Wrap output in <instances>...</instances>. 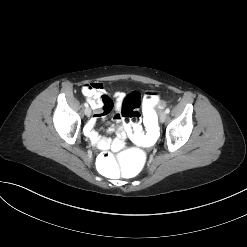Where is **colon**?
<instances>
[{
    "mask_svg": "<svg viewBox=\"0 0 247 247\" xmlns=\"http://www.w3.org/2000/svg\"><path fill=\"white\" fill-rule=\"evenodd\" d=\"M159 104L156 93H147L142 103V117L147 124L148 131H142L140 113L141 97L137 92L126 96L122 103L121 115L124 119V128L137 146L148 147L158 144L160 140V126L155 116V108ZM146 154L137 147L129 148L124 153L116 154L113 151H102L96 157V168L108 177H130L138 175L146 165Z\"/></svg>",
    "mask_w": 247,
    "mask_h": 247,
    "instance_id": "obj_1",
    "label": "colon"
}]
</instances>
